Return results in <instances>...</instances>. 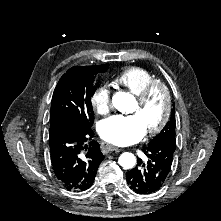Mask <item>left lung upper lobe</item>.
Masks as SVG:
<instances>
[{
  "label": "left lung upper lobe",
  "mask_w": 221,
  "mask_h": 221,
  "mask_svg": "<svg viewBox=\"0 0 221 221\" xmlns=\"http://www.w3.org/2000/svg\"><path fill=\"white\" fill-rule=\"evenodd\" d=\"M175 128H176L175 111L173 106L170 121L167 122L166 126L162 129V131L153 140H151L148 145L161 142L162 140H169L175 143L176 142Z\"/></svg>",
  "instance_id": "1"
}]
</instances>
